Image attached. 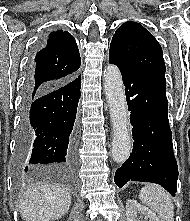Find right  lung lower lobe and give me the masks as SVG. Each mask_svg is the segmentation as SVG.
Returning <instances> with one entry per match:
<instances>
[{"label": "right lung lower lobe", "mask_w": 190, "mask_h": 221, "mask_svg": "<svg viewBox=\"0 0 190 221\" xmlns=\"http://www.w3.org/2000/svg\"><path fill=\"white\" fill-rule=\"evenodd\" d=\"M80 87L81 76L37 91H32L27 81L16 154L20 172L34 171L46 164L74 166Z\"/></svg>", "instance_id": "right-lung-lower-lobe-1"}]
</instances>
